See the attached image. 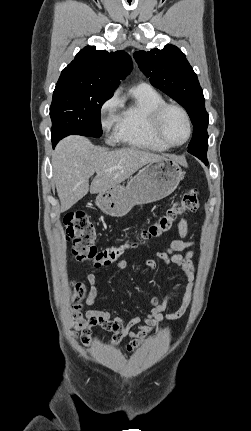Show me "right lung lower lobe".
<instances>
[{
  "instance_id": "obj_1",
  "label": "right lung lower lobe",
  "mask_w": 251,
  "mask_h": 431,
  "mask_svg": "<svg viewBox=\"0 0 251 431\" xmlns=\"http://www.w3.org/2000/svg\"><path fill=\"white\" fill-rule=\"evenodd\" d=\"M57 142H58V141H56V140H53V139H52L53 147H55V145L57 144Z\"/></svg>"
}]
</instances>
